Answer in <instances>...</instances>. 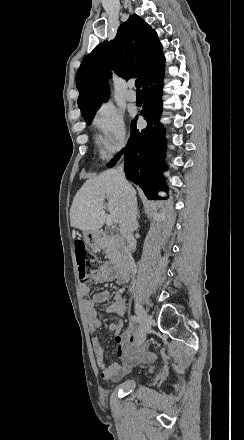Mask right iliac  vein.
<instances>
[{
    "mask_svg": "<svg viewBox=\"0 0 244 440\" xmlns=\"http://www.w3.org/2000/svg\"><path fill=\"white\" fill-rule=\"evenodd\" d=\"M136 313L141 320V324L138 331V336L135 340V344L137 346H141L146 340V333L148 330V325L151 323V318L147 314V312L143 309L140 303L136 302L135 304Z\"/></svg>",
    "mask_w": 244,
    "mask_h": 440,
    "instance_id": "63e3f726",
    "label": "right iliac vein"
}]
</instances>
